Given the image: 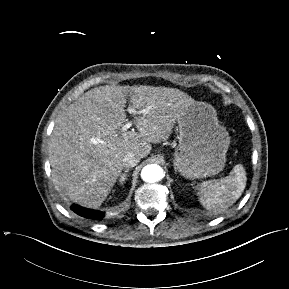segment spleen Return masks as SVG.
<instances>
[{
  "label": "spleen",
  "mask_w": 289,
  "mask_h": 289,
  "mask_svg": "<svg viewBox=\"0 0 289 289\" xmlns=\"http://www.w3.org/2000/svg\"><path fill=\"white\" fill-rule=\"evenodd\" d=\"M246 172L242 164L234 166L229 176L220 180L204 181L199 187L200 203L208 210L221 212L232 206L246 186Z\"/></svg>",
  "instance_id": "obj_1"
}]
</instances>
